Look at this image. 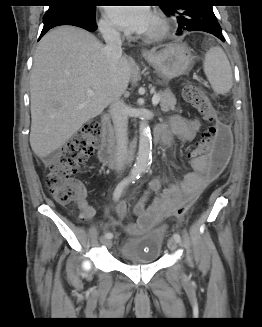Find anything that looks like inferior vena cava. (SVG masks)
<instances>
[{
  "label": "inferior vena cava",
  "instance_id": "inferior-vena-cava-1",
  "mask_svg": "<svg viewBox=\"0 0 262 327\" xmlns=\"http://www.w3.org/2000/svg\"><path fill=\"white\" fill-rule=\"evenodd\" d=\"M101 33L106 42L105 52L109 61L111 72L115 71L116 65L122 56V40L120 33L110 27L103 25ZM110 115L115 127V161L118 169H121L127 159L128 147V114L125 104L115 96L110 107Z\"/></svg>",
  "mask_w": 262,
  "mask_h": 327
}]
</instances>
